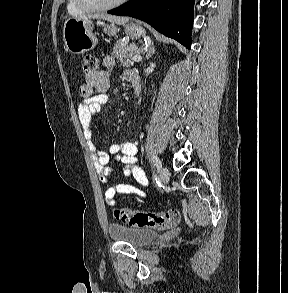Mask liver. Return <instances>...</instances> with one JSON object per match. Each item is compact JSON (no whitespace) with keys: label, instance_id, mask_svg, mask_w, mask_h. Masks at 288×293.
<instances>
[{"label":"liver","instance_id":"obj_1","mask_svg":"<svg viewBox=\"0 0 288 293\" xmlns=\"http://www.w3.org/2000/svg\"><path fill=\"white\" fill-rule=\"evenodd\" d=\"M76 18L82 19V20L103 19V20H107V21H109L111 23H115V24H124L125 22H127L129 20L128 17H119V16H113V15H108V14H104V13L81 15Z\"/></svg>","mask_w":288,"mask_h":293}]
</instances>
